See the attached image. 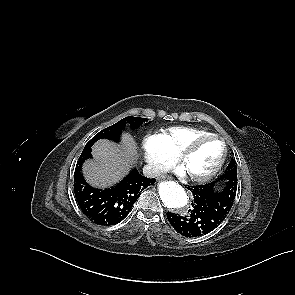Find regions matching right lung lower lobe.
Masks as SVG:
<instances>
[{
    "label": "right lung lower lobe",
    "instance_id": "right-lung-lower-lobe-1",
    "mask_svg": "<svg viewBox=\"0 0 295 295\" xmlns=\"http://www.w3.org/2000/svg\"><path fill=\"white\" fill-rule=\"evenodd\" d=\"M91 150L81 155L74 174V192L82 212L95 224L110 226L122 221L131 211L142 190L155 182L133 169L117 185L108 189L91 187L81 173L82 163L91 158Z\"/></svg>",
    "mask_w": 295,
    "mask_h": 295
}]
</instances>
